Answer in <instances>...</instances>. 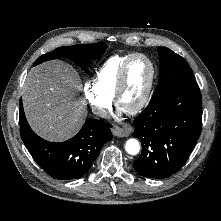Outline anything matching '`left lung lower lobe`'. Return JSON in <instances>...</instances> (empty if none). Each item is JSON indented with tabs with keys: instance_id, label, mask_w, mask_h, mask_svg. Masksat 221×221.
Wrapping results in <instances>:
<instances>
[{
	"instance_id": "1",
	"label": "left lung lower lobe",
	"mask_w": 221,
	"mask_h": 221,
	"mask_svg": "<svg viewBox=\"0 0 221 221\" xmlns=\"http://www.w3.org/2000/svg\"><path fill=\"white\" fill-rule=\"evenodd\" d=\"M202 100L196 81L171 88L152 98L134 119L133 136L142 152L133 163L148 178H167L181 169L201 134Z\"/></svg>"
}]
</instances>
